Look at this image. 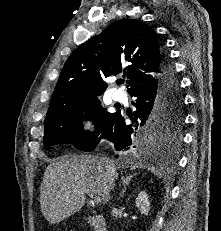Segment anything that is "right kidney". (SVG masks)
Instances as JSON below:
<instances>
[{"instance_id": "1", "label": "right kidney", "mask_w": 221, "mask_h": 231, "mask_svg": "<svg viewBox=\"0 0 221 231\" xmlns=\"http://www.w3.org/2000/svg\"><path fill=\"white\" fill-rule=\"evenodd\" d=\"M136 207L141 212V214L147 215L150 210V201L148 194L145 191H142L138 194L135 200Z\"/></svg>"}]
</instances>
